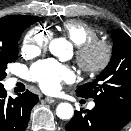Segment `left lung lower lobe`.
I'll return each instance as SVG.
<instances>
[{
    "instance_id": "obj_1",
    "label": "left lung lower lobe",
    "mask_w": 131,
    "mask_h": 131,
    "mask_svg": "<svg viewBox=\"0 0 131 131\" xmlns=\"http://www.w3.org/2000/svg\"><path fill=\"white\" fill-rule=\"evenodd\" d=\"M76 111L66 124L67 131H120L128 122L108 107L95 103L92 110Z\"/></svg>"
}]
</instances>
